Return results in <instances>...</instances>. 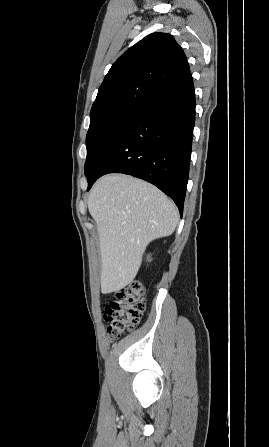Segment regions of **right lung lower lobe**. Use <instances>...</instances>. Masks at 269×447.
<instances>
[{
  "label": "right lung lower lobe",
  "mask_w": 269,
  "mask_h": 447,
  "mask_svg": "<svg viewBox=\"0 0 269 447\" xmlns=\"http://www.w3.org/2000/svg\"><path fill=\"white\" fill-rule=\"evenodd\" d=\"M195 106L189 72L126 120L93 162L87 175V190L104 174L132 175L154 184L170 196L182 216Z\"/></svg>",
  "instance_id": "right-lung-lower-lobe-1"
}]
</instances>
